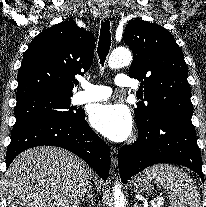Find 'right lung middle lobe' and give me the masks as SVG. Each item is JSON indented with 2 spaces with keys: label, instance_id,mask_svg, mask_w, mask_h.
<instances>
[{
  "label": "right lung middle lobe",
  "instance_id": "1",
  "mask_svg": "<svg viewBox=\"0 0 206 207\" xmlns=\"http://www.w3.org/2000/svg\"><path fill=\"white\" fill-rule=\"evenodd\" d=\"M71 95L36 94L16 99L13 129L45 120L77 119L83 111L70 106Z\"/></svg>",
  "mask_w": 206,
  "mask_h": 207
}]
</instances>
